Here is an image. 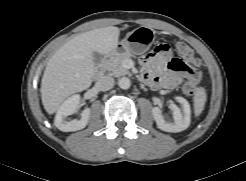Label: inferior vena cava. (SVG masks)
I'll use <instances>...</instances> for the list:
<instances>
[{
  "label": "inferior vena cava",
  "instance_id": "obj_1",
  "mask_svg": "<svg viewBox=\"0 0 246 181\" xmlns=\"http://www.w3.org/2000/svg\"><path fill=\"white\" fill-rule=\"evenodd\" d=\"M114 83V78L110 76H100L97 79L95 86L99 91H107L113 88Z\"/></svg>",
  "mask_w": 246,
  "mask_h": 181
}]
</instances>
